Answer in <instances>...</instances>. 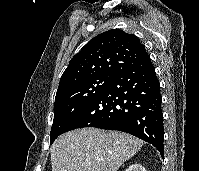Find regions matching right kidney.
Masks as SVG:
<instances>
[{
	"label": "right kidney",
	"instance_id": "ca27d5eb",
	"mask_svg": "<svg viewBox=\"0 0 199 171\" xmlns=\"http://www.w3.org/2000/svg\"><path fill=\"white\" fill-rule=\"evenodd\" d=\"M126 171H147L141 164L134 163L126 169Z\"/></svg>",
	"mask_w": 199,
	"mask_h": 171
}]
</instances>
